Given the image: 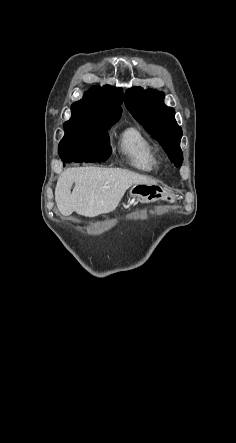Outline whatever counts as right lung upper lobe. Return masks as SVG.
<instances>
[{"label":"right lung upper lobe","instance_id":"1","mask_svg":"<svg viewBox=\"0 0 236 443\" xmlns=\"http://www.w3.org/2000/svg\"><path fill=\"white\" fill-rule=\"evenodd\" d=\"M123 102V91L121 88L92 87L83 98L71 106L72 115L81 116H108L120 118Z\"/></svg>","mask_w":236,"mask_h":443}]
</instances>
